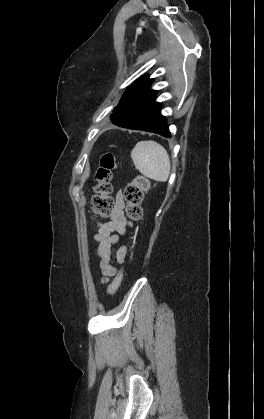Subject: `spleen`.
I'll return each instance as SVG.
<instances>
[{"label":"spleen","mask_w":264,"mask_h":419,"mask_svg":"<svg viewBox=\"0 0 264 419\" xmlns=\"http://www.w3.org/2000/svg\"><path fill=\"white\" fill-rule=\"evenodd\" d=\"M135 168L144 176L165 182L170 174V159L159 143L147 140L138 142L131 151Z\"/></svg>","instance_id":"spleen-1"}]
</instances>
